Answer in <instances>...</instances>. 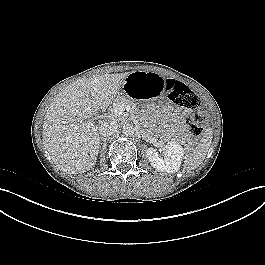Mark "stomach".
<instances>
[{"label":"stomach","mask_w":265,"mask_h":265,"mask_svg":"<svg viewBox=\"0 0 265 265\" xmlns=\"http://www.w3.org/2000/svg\"><path fill=\"white\" fill-rule=\"evenodd\" d=\"M164 85L165 79L154 72L135 71L127 77L123 93L132 97L140 109L151 111L163 103Z\"/></svg>","instance_id":"0dacf381"}]
</instances>
